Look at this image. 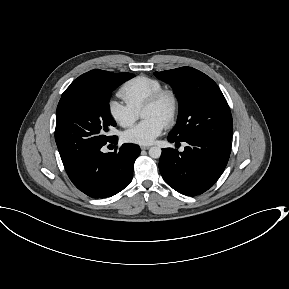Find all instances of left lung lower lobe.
<instances>
[{
  "label": "left lung lower lobe",
  "mask_w": 289,
  "mask_h": 289,
  "mask_svg": "<svg viewBox=\"0 0 289 289\" xmlns=\"http://www.w3.org/2000/svg\"><path fill=\"white\" fill-rule=\"evenodd\" d=\"M168 141L179 143L173 136ZM183 152L162 149L159 169L165 182L177 192L196 196L212 187L226 167L231 140L191 137Z\"/></svg>",
  "instance_id": "left-lung-lower-lobe-1"
}]
</instances>
